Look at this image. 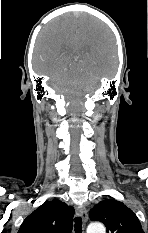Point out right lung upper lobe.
<instances>
[{"label":"right lung upper lobe","instance_id":"1","mask_svg":"<svg viewBox=\"0 0 148 233\" xmlns=\"http://www.w3.org/2000/svg\"><path fill=\"white\" fill-rule=\"evenodd\" d=\"M74 213L62 201H47L27 216L18 233H71Z\"/></svg>","mask_w":148,"mask_h":233}]
</instances>
